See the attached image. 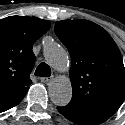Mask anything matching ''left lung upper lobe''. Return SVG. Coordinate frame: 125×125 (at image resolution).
Listing matches in <instances>:
<instances>
[{
	"mask_svg": "<svg viewBox=\"0 0 125 125\" xmlns=\"http://www.w3.org/2000/svg\"><path fill=\"white\" fill-rule=\"evenodd\" d=\"M71 56L74 110L112 108L125 99V68L120 51L106 30L88 20L57 21L54 27Z\"/></svg>",
	"mask_w": 125,
	"mask_h": 125,
	"instance_id": "1",
	"label": "left lung upper lobe"
}]
</instances>
